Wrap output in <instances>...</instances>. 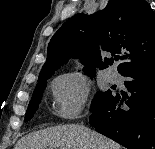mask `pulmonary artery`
Listing matches in <instances>:
<instances>
[{
    "mask_svg": "<svg viewBox=\"0 0 155 149\" xmlns=\"http://www.w3.org/2000/svg\"><path fill=\"white\" fill-rule=\"evenodd\" d=\"M107 76L112 83H117L120 80V76L116 71H110Z\"/></svg>",
    "mask_w": 155,
    "mask_h": 149,
    "instance_id": "pulmonary-artery-1",
    "label": "pulmonary artery"
}]
</instances>
